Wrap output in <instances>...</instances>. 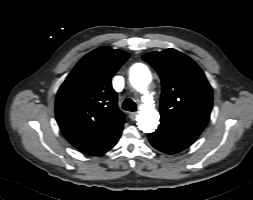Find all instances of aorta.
<instances>
[{
    "label": "aorta",
    "mask_w": 253,
    "mask_h": 200,
    "mask_svg": "<svg viewBox=\"0 0 253 200\" xmlns=\"http://www.w3.org/2000/svg\"><path fill=\"white\" fill-rule=\"evenodd\" d=\"M129 79L137 91L145 93L152 77L149 69L138 63L132 66ZM137 124L138 128L145 133L154 132L159 124V113L147 94H145L144 104L139 112Z\"/></svg>",
    "instance_id": "obj_1"
}]
</instances>
